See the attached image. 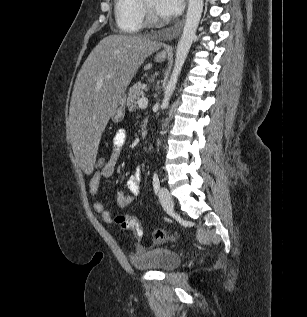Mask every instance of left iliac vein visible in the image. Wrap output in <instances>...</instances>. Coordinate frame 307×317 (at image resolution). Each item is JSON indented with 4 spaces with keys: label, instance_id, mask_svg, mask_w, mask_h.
<instances>
[{
    "label": "left iliac vein",
    "instance_id": "left-iliac-vein-1",
    "mask_svg": "<svg viewBox=\"0 0 307 317\" xmlns=\"http://www.w3.org/2000/svg\"><path fill=\"white\" fill-rule=\"evenodd\" d=\"M159 200L161 205L167 210L172 211L174 207L173 198L167 188L161 187L159 191Z\"/></svg>",
    "mask_w": 307,
    "mask_h": 317
}]
</instances>
